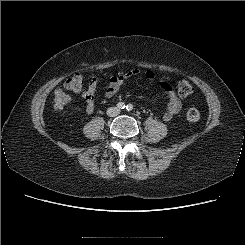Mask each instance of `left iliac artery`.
I'll use <instances>...</instances> for the list:
<instances>
[{
	"label": "left iliac artery",
	"mask_w": 245,
	"mask_h": 245,
	"mask_svg": "<svg viewBox=\"0 0 245 245\" xmlns=\"http://www.w3.org/2000/svg\"><path fill=\"white\" fill-rule=\"evenodd\" d=\"M126 109H127L128 111H131V110L133 109V105H132V104H128V105L126 106Z\"/></svg>",
	"instance_id": "44dca946"
}]
</instances>
